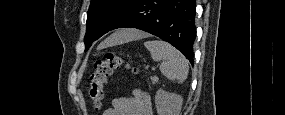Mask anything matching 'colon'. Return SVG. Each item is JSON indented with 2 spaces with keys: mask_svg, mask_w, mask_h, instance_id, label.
<instances>
[{
  "mask_svg": "<svg viewBox=\"0 0 285 115\" xmlns=\"http://www.w3.org/2000/svg\"><path fill=\"white\" fill-rule=\"evenodd\" d=\"M122 64L123 60L113 53H106L104 59L96 61L87 88L88 97L95 109L102 107L105 98V85L113 70L118 69Z\"/></svg>",
  "mask_w": 285,
  "mask_h": 115,
  "instance_id": "obj_1",
  "label": "colon"
}]
</instances>
